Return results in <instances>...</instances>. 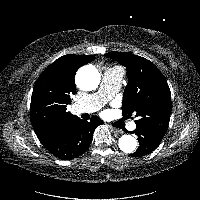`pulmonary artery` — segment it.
Masks as SVG:
<instances>
[{
    "label": "pulmonary artery",
    "instance_id": "pulmonary-artery-1",
    "mask_svg": "<svg viewBox=\"0 0 200 200\" xmlns=\"http://www.w3.org/2000/svg\"><path fill=\"white\" fill-rule=\"evenodd\" d=\"M123 71L119 68H110L104 71L100 88L96 93L87 95L74 105L76 113H92L101 109L119 91L122 82ZM136 125L132 122L129 126L131 130Z\"/></svg>",
    "mask_w": 200,
    "mask_h": 200
}]
</instances>
